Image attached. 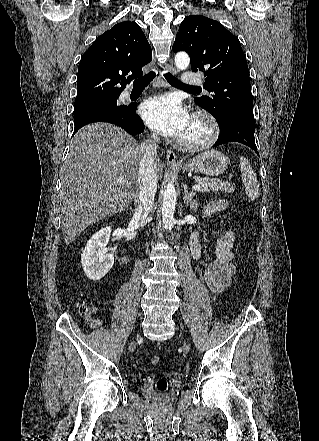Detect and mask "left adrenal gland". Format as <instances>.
<instances>
[{
  "label": "left adrenal gland",
  "instance_id": "a2214340",
  "mask_svg": "<svg viewBox=\"0 0 319 441\" xmlns=\"http://www.w3.org/2000/svg\"><path fill=\"white\" fill-rule=\"evenodd\" d=\"M183 188H184L183 200H184L185 206L186 207L189 206L194 212H196L198 209V206H199L197 199H193L196 196V194L192 191L190 192L187 188V185H185V184L183 185Z\"/></svg>",
  "mask_w": 319,
  "mask_h": 441
}]
</instances>
